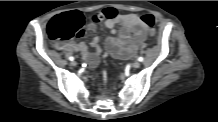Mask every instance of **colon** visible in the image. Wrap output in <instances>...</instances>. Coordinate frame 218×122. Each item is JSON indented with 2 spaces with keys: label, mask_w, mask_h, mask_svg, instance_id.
Instances as JSON below:
<instances>
[{
  "label": "colon",
  "mask_w": 218,
  "mask_h": 122,
  "mask_svg": "<svg viewBox=\"0 0 218 122\" xmlns=\"http://www.w3.org/2000/svg\"><path fill=\"white\" fill-rule=\"evenodd\" d=\"M150 29L154 26L155 18L151 14L141 17ZM85 18L79 11H69L55 16L48 25V35L51 40L62 43L83 34Z\"/></svg>",
  "instance_id": "5ec220e1"
}]
</instances>
